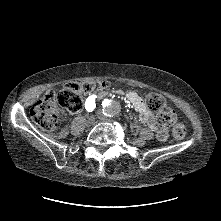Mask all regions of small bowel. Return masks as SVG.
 <instances>
[{
	"label": "small bowel",
	"instance_id": "1",
	"mask_svg": "<svg viewBox=\"0 0 221 221\" xmlns=\"http://www.w3.org/2000/svg\"><path fill=\"white\" fill-rule=\"evenodd\" d=\"M94 95L95 94L90 95L89 96L90 99L93 98ZM126 97H127L128 101L132 104V106L134 108H136V110L139 112L140 119L143 122L148 123L150 129L157 130V128H158L157 121H156L155 117L146 109V106H145L143 100L140 98V96L137 93L130 91L126 94ZM174 121H175V117L173 115V120L171 123H173Z\"/></svg>",
	"mask_w": 221,
	"mask_h": 221
}]
</instances>
